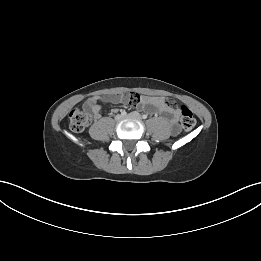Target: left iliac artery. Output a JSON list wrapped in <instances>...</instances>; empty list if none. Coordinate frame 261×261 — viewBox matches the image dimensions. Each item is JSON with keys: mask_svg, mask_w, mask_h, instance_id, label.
I'll list each match as a JSON object with an SVG mask.
<instances>
[{"mask_svg": "<svg viewBox=\"0 0 261 261\" xmlns=\"http://www.w3.org/2000/svg\"><path fill=\"white\" fill-rule=\"evenodd\" d=\"M142 118H143V119H146V118H147V115H145V114L142 115Z\"/></svg>", "mask_w": 261, "mask_h": 261, "instance_id": "left-iliac-artery-1", "label": "left iliac artery"}]
</instances>
